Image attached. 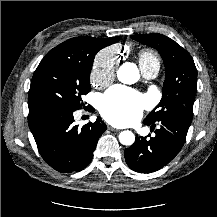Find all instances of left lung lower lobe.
<instances>
[{
    "label": "left lung lower lobe",
    "instance_id": "1",
    "mask_svg": "<svg viewBox=\"0 0 217 217\" xmlns=\"http://www.w3.org/2000/svg\"><path fill=\"white\" fill-rule=\"evenodd\" d=\"M145 125L160 128L155 137L136 138L135 143L124 152L130 169L139 173H152L167 165L181 150L191 123L176 117L163 118L157 122L144 120Z\"/></svg>",
    "mask_w": 217,
    "mask_h": 217
}]
</instances>
